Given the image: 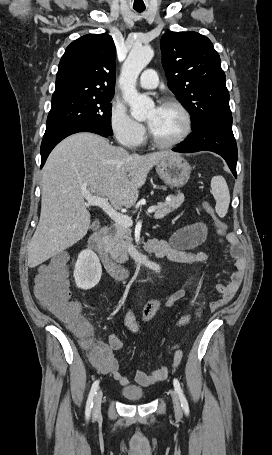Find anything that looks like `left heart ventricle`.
Listing matches in <instances>:
<instances>
[{"label": "left heart ventricle", "instance_id": "left-heart-ventricle-1", "mask_svg": "<svg viewBox=\"0 0 272 455\" xmlns=\"http://www.w3.org/2000/svg\"><path fill=\"white\" fill-rule=\"evenodd\" d=\"M146 121L156 138L170 141L177 138L183 128L184 120L181 113L174 107L160 106L149 110Z\"/></svg>", "mask_w": 272, "mask_h": 455}]
</instances>
